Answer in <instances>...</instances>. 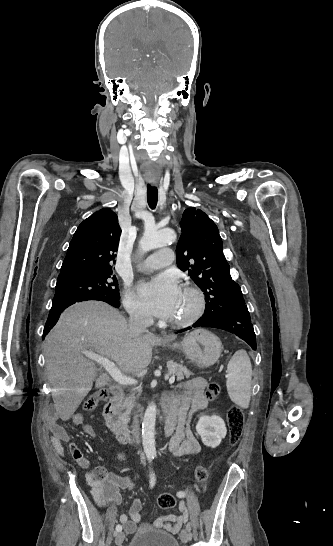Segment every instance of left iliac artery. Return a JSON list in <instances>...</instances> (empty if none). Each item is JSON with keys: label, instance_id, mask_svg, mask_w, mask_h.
I'll return each mask as SVG.
<instances>
[{"label": "left iliac artery", "instance_id": "left-iliac-artery-1", "mask_svg": "<svg viewBox=\"0 0 333 546\" xmlns=\"http://www.w3.org/2000/svg\"><path fill=\"white\" fill-rule=\"evenodd\" d=\"M177 496H178V497H183V496H184V493H183V492H177Z\"/></svg>", "mask_w": 333, "mask_h": 546}]
</instances>
